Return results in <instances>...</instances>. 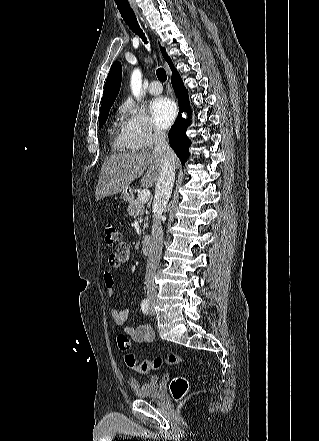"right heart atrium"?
I'll return each mask as SVG.
<instances>
[{
	"label": "right heart atrium",
	"mask_w": 319,
	"mask_h": 441,
	"mask_svg": "<svg viewBox=\"0 0 319 441\" xmlns=\"http://www.w3.org/2000/svg\"><path fill=\"white\" fill-rule=\"evenodd\" d=\"M120 111L124 116V136L131 150H149L164 140V131L156 126L142 108L133 103H124Z\"/></svg>",
	"instance_id": "obj_1"
}]
</instances>
